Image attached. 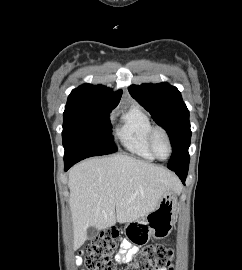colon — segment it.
Masks as SVG:
<instances>
[{"label": "colon", "instance_id": "colon-1", "mask_svg": "<svg viewBox=\"0 0 242 270\" xmlns=\"http://www.w3.org/2000/svg\"><path fill=\"white\" fill-rule=\"evenodd\" d=\"M119 230L115 227L106 229L87 247L84 264L88 270H122L116 266L112 256L118 246ZM172 250L162 244H150L136 254L133 261L123 270H158L171 266Z\"/></svg>", "mask_w": 242, "mask_h": 270}]
</instances>
